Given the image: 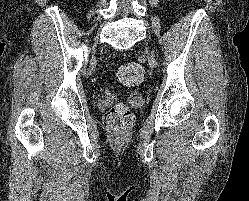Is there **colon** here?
I'll list each match as a JSON object with an SVG mask.
<instances>
[{
    "mask_svg": "<svg viewBox=\"0 0 249 201\" xmlns=\"http://www.w3.org/2000/svg\"><path fill=\"white\" fill-rule=\"evenodd\" d=\"M144 78V70L137 63H129L121 66L117 71L118 81L126 87H134ZM134 116L130 108L118 103L114 105L104 116L105 128L115 136L126 134L132 127Z\"/></svg>",
    "mask_w": 249,
    "mask_h": 201,
    "instance_id": "5ec220e1",
    "label": "colon"
}]
</instances>
